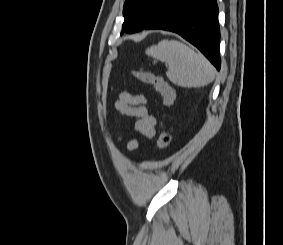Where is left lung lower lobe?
I'll use <instances>...</instances> for the list:
<instances>
[{"instance_id": "obj_1", "label": "left lung lower lobe", "mask_w": 283, "mask_h": 245, "mask_svg": "<svg viewBox=\"0 0 283 245\" xmlns=\"http://www.w3.org/2000/svg\"><path fill=\"white\" fill-rule=\"evenodd\" d=\"M145 29H162L181 35L220 70V28L216 0H173Z\"/></svg>"}]
</instances>
